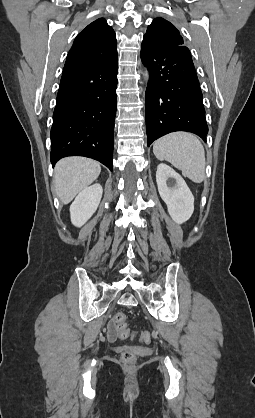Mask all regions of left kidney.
<instances>
[{
  "label": "left kidney",
  "mask_w": 255,
  "mask_h": 418,
  "mask_svg": "<svg viewBox=\"0 0 255 418\" xmlns=\"http://www.w3.org/2000/svg\"><path fill=\"white\" fill-rule=\"evenodd\" d=\"M156 182L173 221L182 224L189 220L194 211V196L184 179L170 166L161 163L157 167Z\"/></svg>",
  "instance_id": "left-kidney-1"
}]
</instances>
